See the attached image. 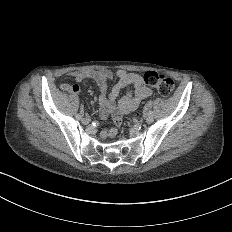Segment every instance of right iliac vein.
Instances as JSON below:
<instances>
[{
    "label": "right iliac vein",
    "instance_id": "63e3f726",
    "mask_svg": "<svg viewBox=\"0 0 232 232\" xmlns=\"http://www.w3.org/2000/svg\"><path fill=\"white\" fill-rule=\"evenodd\" d=\"M81 124H82L83 126H88V125H89V120H88L87 118H82V119H81Z\"/></svg>",
    "mask_w": 232,
    "mask_h": 232
}]
</instances>
